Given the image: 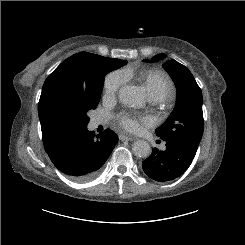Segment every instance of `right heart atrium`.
I'll return each mask as SVG.
<instances>
[{"mask_svg": "<svg viewBox=\"0 0 245 245\" xmlns=\"http://www.w3.org/2000/svg\"><path fill=\"white\" fill-rule=\"evenodd\" d=\"M126 76L121 70L109 73L104 80L105 96H114L125 83Z\"/></svg>", "mask_w": 245, "mask_h": 245, "instance_id": "obj_1", "label": "right heart atrium"}]
</instances>
